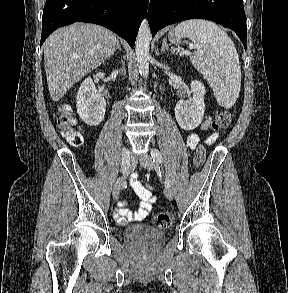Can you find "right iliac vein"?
Here are the masks:
<instances>
[{
  "label": "right iliac vein",
  "mask_w": 288,
  "mask_h": 293,
  "mask_svg": "<svg viewBox=\"0 0 288 293\" xmlns=\"http://www.w3.org/2000/svg\"><path fill=\"white\" fill-rule=\"evenodd\" d=\"M128 156H129L130 167H129V170H123V175L117 179V181L115 182V184L113 186L112 195H113L114 200L118 199V197L120 195V190H121L122 185L124 183V179L130 173L132 166L135 163V159L129 150H128Z\"/></svg>",
  "instance_id": "obj_1"
}]
</instances>
